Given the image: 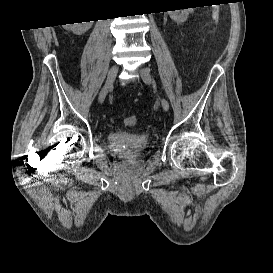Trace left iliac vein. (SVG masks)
Listing matches in <instances>:
<instances>
[{
    "mask_svg": "<svg viewBox=\"0 0 273 273\" xmlns=\"http://www.w3.org/2000/svg\"><path fill=\"white\" fill-rule=\"evenodd\" d=\"M139 73H140V75H141V77H142L145 84L150 85L152 83V78H151L150 72H149V70L147 68L141 67L139 69ZM161 105H162V108L165 111L169 110V103L165 98H163L161 100Z\"/></svg>",
    "mask_w": 273,
    "mask_h": 273,
    "instance_id": "4c4485c4",
    "label": "left iliac vein"
}]
</instances>
